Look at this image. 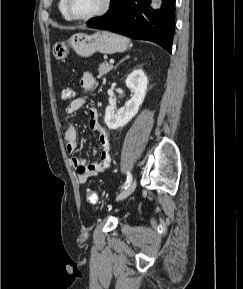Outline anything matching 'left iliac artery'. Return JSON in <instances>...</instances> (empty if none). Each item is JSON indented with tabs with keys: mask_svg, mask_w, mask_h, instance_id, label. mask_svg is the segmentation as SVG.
Listing matches in <instances>:
<instances>
[{
	"mask_svg": "<svg viewBox=\"0 0 243 289\" xmlns=\"http://www.w3.org/2000/svg\"><path fill=\"white\" fill-rule=\"evenodd\" d=\"M127 180L125 182V184L122 186V189H126L128 187V185L132 182V174L127 171Z\"/></svg>",
	"mask_w": 243,
	"mask_h": 289,
	"instance_id": "obj_1",
	"label": "left iliac artery"
}]
</instances>
